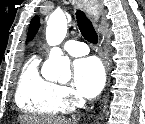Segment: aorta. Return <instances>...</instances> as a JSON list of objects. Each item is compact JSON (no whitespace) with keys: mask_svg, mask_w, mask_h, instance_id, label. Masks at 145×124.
<instances>
[{"mask_svg":"<svg viewBox=\"0 0 145 124\" xmlns=\"http://www.w3.org/2000/svg\"><path fill=\"white\" fill-rule=\"evenodd\" d=\"M67 33V17L64 13H54L50 16L46 27V40L50 46L49 58L42 68V76L49 81L68 82L71 78L70 61L57 47Z\"/></svg>","mask_w":145,"mask_h":124,"instance_id":"aorta-1","label":"aorta"}]
</instances>
